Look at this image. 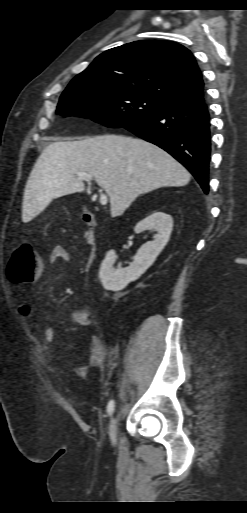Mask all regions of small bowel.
I'll use <instances>...</instances> for the list:
<instances>
[{
    "instance_id": "1",
    "label": "small bowel",
    "mask_w": 247,
    "mask_h": 513,
    "mask_svg": "<svg viewBox=\"0 0 247 513\" xmlns=\"http://www.w3.org/2000/svg\"><path fill=\"white\" fill-rule=\"evenodd\" d=\"M51 264L59 262H69L70 254L62 246L55 247L49 257ZM20 314L25 318H31L33 311L27 303H21L19 306ZM73 321L80 327H90L93 323L90 313L86 309H78L72 314ZM36 330L40 333L42 341L45 346H48L55 340V330L50 326L36 325ZM76 346L74 344H67V353L70 350H74ZM119 351L118 347H113L111 353L116 355ZM66 352L60 354L56 360L58 362H64L66 360ZM106 357V351L102 339L97 335L90 337L88 346V358L85 363L80 364L74 368V372L79 376H85L91 369L99 368L103 366Z\"/></svg>"
}]
</instances>
